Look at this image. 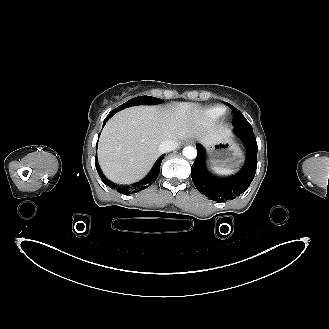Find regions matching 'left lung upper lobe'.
Masks as SVG:
<instances>
[{"label": "left lung upper lobe", "mask_w": 329, "mask_h": 329, "mask_svg": "<svg viewBox=\"0 0 329 329\" xmlns=\"http://www.w3.org/2000/svg\"><path fill=\"white\" fill-rule=\"evenodd\" d=\"M226 105H228L231 108V110L233 111V125L234 126L244 125V124L249 123L238 109H236L234 106H232L229 103H226Z\"/></svg>", "instance_id": "1"}]
</instances>
